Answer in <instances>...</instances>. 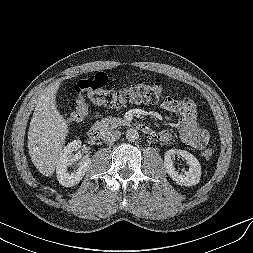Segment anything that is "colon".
I'll use <instances>...</instances> for the list:
<instances>
[{
  "instance_id": "5ec220e1",
  "label": "colon",
  "mask_w": 253,
  "mask_h": 253,
  "mask_svg": "<svg viewBox=\"0 0 253 253\" xmlns=\"http://www.w3.org/2000/svg\"><path fill=\"white\" fill-rule=\"evenodd\" d=\"M108 82L106 74L98 72L90 77L79 80L75 86L77 99L75 110L69 116L72 122L82 121L87 115L89 105L87 99L108 107H120L139 102H157L163 95L162 83L156 79L150 84H140L120 91L106 90ZM213 149L208 146L203 151V157L210 159Z\"/></svg>"
}]
</instances>
